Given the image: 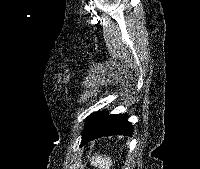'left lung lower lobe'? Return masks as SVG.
I'll return each instance as SVG.
<instances>
[{
    "mask_svg": "<svg viewBox=\"0 0 200 169\" xmlns=\"http://www.w3.org/2000/svg\"><path fill=\"white\" fill-rule=\"evenodd\" d=\"M127 117V114L111 115L106 112L93 113L86 120L81 146L102 136L131 135L133 127L127 120Z\"/></svg>",
    "mask_w": 200,
    "mask_h": 169,
    "instance_id": "1",
    "label": "left lung lower lobe"
}]
</instances>
